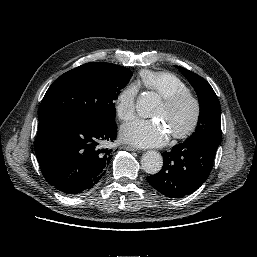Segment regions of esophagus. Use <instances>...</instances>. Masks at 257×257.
<instances>
[{
    "instance_id": "34e87169",
    "label": "esophagus",
    "mask_w": 257,
    "mask_h": 257,
    "mask_svg": "<svg viewBox=\"0 0 257 257\" xmlns=\"http://www.w3.org/2000/svg\"><path fill=\"white\" fill-rule=\"evenodd\" d=\"M123 147L129 151H137V148L134 146L124 145Z\"/></svg>"
}]
</instances>
